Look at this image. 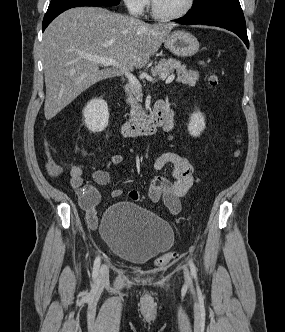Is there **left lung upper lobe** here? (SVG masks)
<instances>
[{"instance_id": "1", "label": "left lung upper lobe", "mask_w": 285, "mask_h": 332, "mask_svg": "<svg viewBox=\"0 0 285 332\" xmlns=\"http://www.w3.org/2000/svg\"><path fill=\"white\" fill-rule=\"evenodd\" d=\"M230 7H241L239 0H194L189 14H200Z\"/></svg>"}]
</instances>
